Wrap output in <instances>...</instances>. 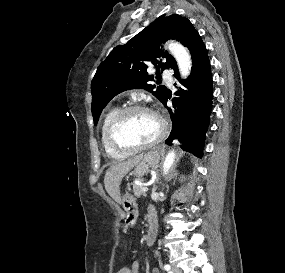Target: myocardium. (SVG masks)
Instances as JSON below:
<instances>
[{
    "label": "myocardium",
    "mask_w": 285,
    "mask_h": 273,
    "mask_svg": "<svg viewBox=\"0 0 285 273\" xmlns=\"http://www.w3.org/2000/svg\"><path fill=\"white\" fill-rule=\"evenodd\" d=\"M138 111L148 112L156 118L160 127L159 133L153 140L147 143L140 145H133V146L125 145L121 143L120 140L118 139L117 136L118 129L127 115ZM167 132H168L167 121L158 111L146 105L131 104L119 109L118 112L114 115L108 127L107 137L110 145L114 149L123 153H134L157 145L166 137Z\"/></svg>",
    "instance_id": "obj_1"
}]
</instances>
